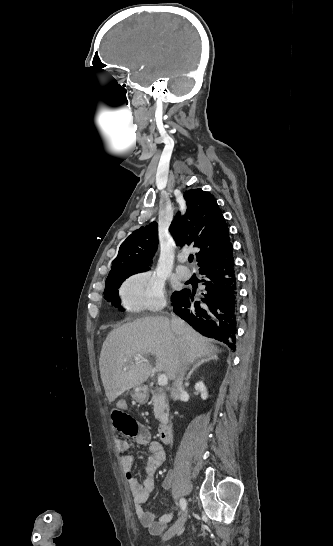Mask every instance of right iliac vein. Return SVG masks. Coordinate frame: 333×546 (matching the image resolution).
Returning <instances> with one entry per match:
<instances>
[{
	"label": "right iliac vein",
	"instance_id": "1",
	"mask_svg": "<svg viewBox=\"0 0 333 546\" xmlns=\"http://www.w3.org/2000/svg\"><path fill=\"white\" fill-rule=\"evenodd\" d=\"M187 519V510H185L179 519L173 524L164 534L162 540L166 541L174 537L176 534H181L184 529V524Z\"/></svg>",
	"mask_w": 333,
	"mask_h": 546
}]
</instances>
